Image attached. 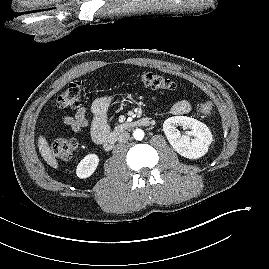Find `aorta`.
<instances>
[{
    "label": "aorta",
    "mask_w": 269,
    "mask_h": 269,
    "mask_svg": "<svg viewBox=\"0 0 269 269\" xmlns=\"http://www.w3.org/2000/svg\"><path fill=\"white\" fill-rule=\"evenodd\" d=\"M133 137L136 140H142L144 138V131L142 129H135L133 132Z\"/></svg>",
    "instance_id": "1"
}]
</instances>
